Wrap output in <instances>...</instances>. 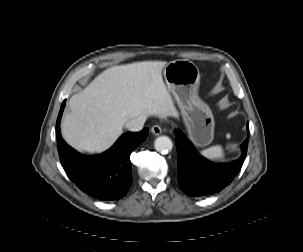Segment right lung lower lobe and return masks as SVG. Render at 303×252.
Returning a JSON list of instances; mask_svg holds the SVG:
<instances>
[{
  "label": "right lung lower lobe",
  "mask_w": 303,
  "mask_h": 252,
  "mask_svg": "<svg viewBox=\"0 0 303 252\" xmlns=\"http://www.w3.org/2000/svg\"><path fill=\"white\" fill-rule=\"evenodd\" d=\"M63 102L56 123L57 147L60 162L68 177L85 193L100 200L123 197L131 183V152L148 135V128L138 133L123 134L106 152L96 156L77 153L62 138L60 120Z\"/></svg>",
  "instance_id": "obj_1"
}]
</instances>
